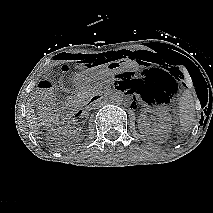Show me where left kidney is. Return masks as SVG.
<instances>
[{
  "mask_svg": "<svg viewBox=\"0 0 213 213\" xmlns=\"http://www.w3.org/2000/svg\"><path fill=\"white\" fill-rule=\"evenodd\" d=\"M151 113L157 117L155 124H150L144 117L139 119L140 129L143 133L155 137L166 138L171 132V117L166 108H156Z\"/></svg>",
  "mask_w": 213,
  "mask_h": 213,
  "instance_id": "left-kidney-1",
  "label": "left kidney"
}]
</instances>
